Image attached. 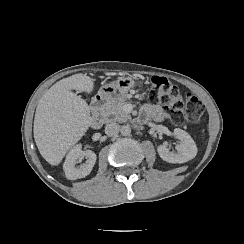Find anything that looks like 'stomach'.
<instances>
[{
	"mask_svg": "<svg viewBox=\"0 0 244 244\" xmlns=\"http://www.w3.org/2000/svg\"><path fill=\"white\" fill-rule=\"evenodd\" d=\"M138 85L137 79L131 75H123L115 81L106 83L100 87L95 99L110 102L127 97L131 89Z\"/></svg>",
	"mask_w": 244,
	"mask_h": 244,
	"instance_id": "0dacf381",
	"label": "stomach"
}]
</instances>
